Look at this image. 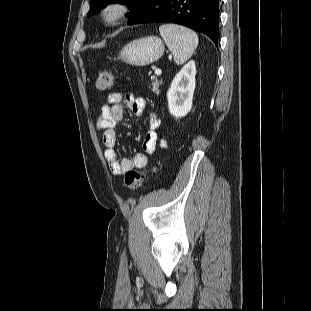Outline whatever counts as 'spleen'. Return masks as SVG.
<instances>
[{
	"mask_svg": "<svg viewBox=\"0 0 311 311\" xmlns=\"http://www.w3.org/2000/svg\"><path fill=\"white\" fill-rule=\"evenodd\" d=\"M159 32L177 64L190 59L198 45V36L194 31L176 24H165L159 27Z\"/></svg>",
	"mask_w": 311,
	"mask_h": 311,
	"instance_id": "3e777b00",
	"label": "spleen"
}]
</instances>
